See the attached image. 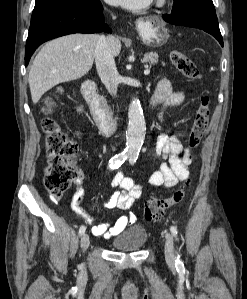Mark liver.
I'll return each mask as SVG.
<instances>
[{"label": "liver", "instance_id": "liver-1", "mask_svg": "<svg viewBox=\"0 0 247 299\" xmlns=\"http://www.w3.org/2000/svg\"><path fill=\"white\" fill-rule=\"evenodd\" d=\"M95 34H71L46 43L36 55L28 82L33 103L54 86L86 75L93 66L98 40ZM113 56L121 51L118 38H108Z\"/></svg>", "mask_w": 247, "mask_h": 299}]
</instances>
